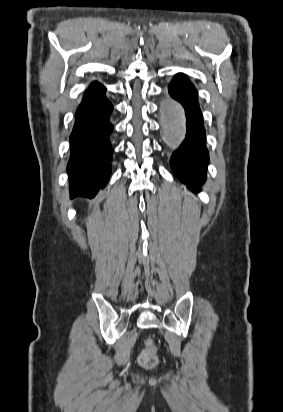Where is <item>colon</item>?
Here are the masks:
<instances>
[{
	"label": "colon",
	"mask_w": 283,
	"mask_h": 412,
	"mask_svg": "<svg viewBox=\"0 0 283 412\" xmlns=\"http://www.w3.org/2000/svg\"><path fill=\"white\" fill-rule=\"evenodd\" d=\"M138 362L143 368L147 369L154 368L159 362L157 348L150 336L145 340V347L138 357Z\"/></svg>",
	"instance_id": "colon-1"
}]
</instances>
